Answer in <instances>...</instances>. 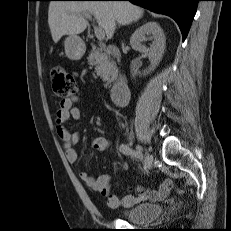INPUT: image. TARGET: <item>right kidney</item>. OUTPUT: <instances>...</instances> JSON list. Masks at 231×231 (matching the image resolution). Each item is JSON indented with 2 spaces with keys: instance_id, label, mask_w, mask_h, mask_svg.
<instances>
[{
  "instance_id": "right-kidney-1",
  "label": "right kidney",
  "mask_w": 231,
  "mask_h": 231,
  "mask_svg": "<svg viewBox=\"0 0 231 231\" xmlns=\"http://www.w3.org/2000/svg\"><path fill=\"white\" fill-rule=\"evenodd\" d=\"M146 36H150L153 40L150 48H147L142 43L146 40ZM165 35L160 25L157 22H147L133 33L130 38V45L133 49L142 53L143 56L150 60V67L144 70L143 75L153 71L162 59L165 49Z\"/></svg>"
}]
</instances>
